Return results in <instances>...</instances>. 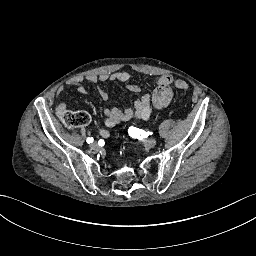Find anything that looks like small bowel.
<instances>
[{"label": "small bowel", "instance_id": "1", "mask_svg": "<svg viewBox=\"0 0 256 256\" xmlns=\"http://www.w3.org/2000/svg\"><path fill=\"white\" fill-rule=\"evenodd\" d=\"M86 80L92 84L103 83L107 81L111 82H121L127 83V90L133 93H140L141 88L137 84L129 83L130 74L126 71H118L114 73H102L100 75L91 74L85 77ZM84 78L76 77L70 80V84L75 86L77 91L86 94L87 89L83 85ZM173 77L170 75H163L159 77L156 81V88L152 95L144 93L139 99H137L133 107L126 109L119 108H108L104 110L105 121L104 127L98 130V134L102 138H108L110 136V128L115 127L122 121H128L131 119H141L148 120L151 117L152 110H162L165 108L172 100L173 97ZM64 92V87H60L57 90V111L61 112L66 110V103L62 99V93ZM98 94L102 100H107L109 94L107 90L103 88H98Z\"/></svg>", "mask_w": 256, "mask_h": 256}]
</instances>
